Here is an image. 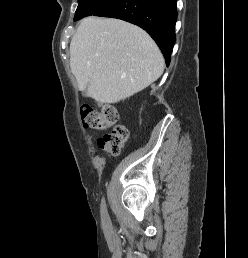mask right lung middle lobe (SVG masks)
<instances>
[{
	"label": "right lung middle lobe",
	"mask_w": 248,
	"mask_h": 258,
	"mask_svg": "<svg viewBox=\"0 0 248 258\" xmlns=\"http://www.w3.org/2000/svg\"><path fill=\"white\" fill-rule=\"evenodd\" d=\"M113 1L114 0H78V7L75 13L74 21L96 14Z\"/></svg>",
	"instance_id": "dd1d6c3e"
}]
</instances>
